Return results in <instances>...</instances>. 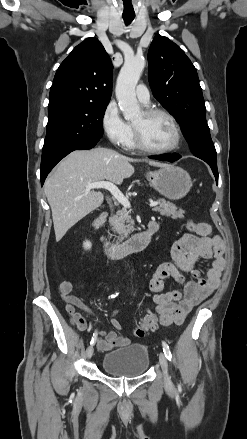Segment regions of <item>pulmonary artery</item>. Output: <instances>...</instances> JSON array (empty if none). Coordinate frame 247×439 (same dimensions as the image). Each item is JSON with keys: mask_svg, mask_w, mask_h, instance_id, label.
I'll list each match as a JSON object with an SVG mask.
<instances>
[{"mask_svg": "<svg viewBox=\"0 0 247 439\" xmlns=\"http://www.w3.org/2000/svg\"><path fill=\"white\" fill-rule=\"evenodd\" d=\"M136 96L141 103H143L145 105L149 104L150 94H149V91L145 85L140 84L137 86Z\"/></svg>", "mask_w": 247, "mask_h": 439, "instance_id": "obj_1", "label": "pulmonary artery"}]
</instances>
